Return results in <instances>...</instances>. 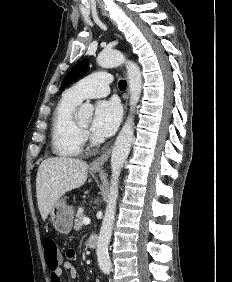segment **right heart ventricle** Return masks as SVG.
Returning <instances> with one entry per match:
<instances>
[{
  "label": "right heart ventricle",
  "instance_id": "1",
  "mask_svg": "<svg viewBox=\"0 0 232 282\" xmlns=\"http://www.w3.org/2000/svg\"><path fill=\"white\" fill-rule=\"evenodd\" d=\"M79 103L64 93L55 106L51 119V147L57 156L72 157L82 151L84 138L74 122V111Z\"/></svg>",
  "mask_w": 232,
  "mask_h": 282
}]
</instances>
